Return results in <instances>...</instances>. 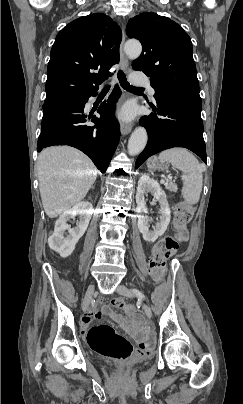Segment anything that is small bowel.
Segmentation results:
<instances>
[{
  "instance_id": "obj_1",
  "label": "small bowel",
  "mask_w": 243,
  "mask_h": 404,
  "mask_svg": "<svg viewBox=\"0 0 243 404\" xmlns=\"http://www.w3.org/2000/svg\"><path fill=\"white\" fill-rule=\"evenodd\" d=\"M103 316V310L100 308L98 303L93 304L90 312L82 319L81 322V329L83 332H86L89 327L92 325V323L101 318ZM128 331H132L133 327L128 326L127 327Z\"/></svg>"
}]
</instances>
